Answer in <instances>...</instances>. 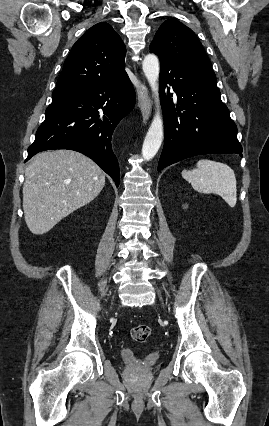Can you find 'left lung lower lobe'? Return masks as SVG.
Returning <instances> with one entry per match:
<instances>
[{"label":"left lung lower lobe","mask_w":269,"mask_h":426,"mask_svg":"<svg viewBox=\"0 0 269 426\" xmlns=\"http://www.w3.org/2000/svg\"><path fill=\"white\" fill-rule=\"evenodd\" d=\"M160 63L165 143L158 171L195 155L242 156L237 127L221 101L216 76L175 61L160 59ZM168 85L176 92L177 102H173Z\"/></svg>","instance_id":"1"}]
</instances>
